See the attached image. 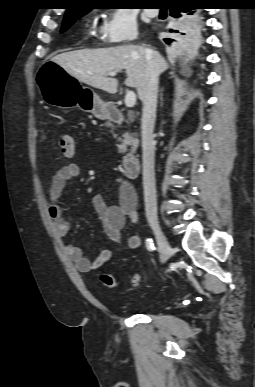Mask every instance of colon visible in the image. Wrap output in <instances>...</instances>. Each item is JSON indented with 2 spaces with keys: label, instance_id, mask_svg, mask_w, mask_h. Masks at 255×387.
Here are the masks:
<instances>
[{
  "label": "colon",
  "instance_id": "1",
  "mask_svg": "<svg viewBox=\"0 0 255 387\" xmlns=\"http://www.w3.org/2000/svg\"><path fill=\"white\" fill-rule=\"evenodd\" d=\"M59 149L64 157H71L75 151V138L70 133H62L59 137ZM100 283L109 289L117 287V279L111 273H102L99 278ZM142 277L140 274H133L130 279V283L133 287L140 286Z\"/></svg>",
  "mask_w": 255,
  "mask_h": 387
}]
</instances>
